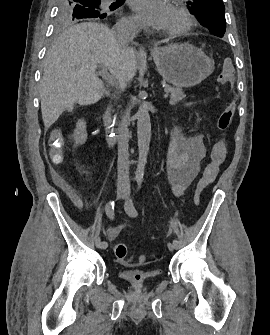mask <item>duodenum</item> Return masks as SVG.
<instances>
[{"mask_svg": "<svg viewBox=\"0 0 270 335\" xmlns=\"http://www.w3.org/2000/svg\"><path fill=\"white\" fill-rule=\"evenodd\" d=\"M110 123H111L110 110L107 109L105 111V113L103 114V125H104V129H105L106 141L109 145H112L113 141H114V138H113V134L111 132Z\"/></svg>", "mask_w": 270, "mask_h": 335, "instance_id": "1", "label": "duodenum"}]
</instances>
